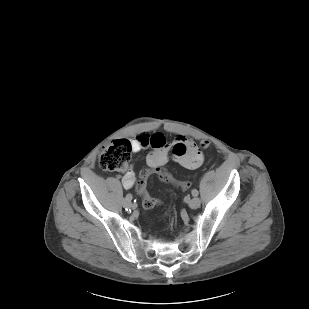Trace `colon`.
Instances as JSON below:
<instances>
[{"label":"colon","instance_id":"obj_1","mask_svg":"<svg viewBox=\"0 0 309 309\" xmlns=\"http://www.w3.org/2000/svg\"><path fill=\"white\" fill-rule=\"evenodd\" d=\"M201 148L207 149L209 147V142L204 141L201 143ZM132 152V144L127 139L115 140L109 145L102 148L98 156L99 166L109 172H118L125 169L128 161L130 160ZM158 177L165 182L171 183L172 185L181 188L187 189L191 186V182H179L173 178L171 173L163 167L156 169ZM150 171L144 170L141 172L140 179L136 184V189L142 200V206L146 209L153 208L158 204V201L150 197L146 190L145 184L146 179L149 177Z\"/></svg>","mask_w":309,"mask_h":309}]
</instances>
